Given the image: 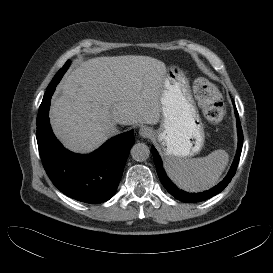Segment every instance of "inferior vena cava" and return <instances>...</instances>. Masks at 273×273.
Returning <instances> with one entry per match:
<instances>
[{"instance_id": "602c4592", "label": "inferior vena cava", "mask_w": 273, "mask_h": 273, "mask_svg": "<svg viewBox=\"0 0 273 273\" xmlns=\"http://www.w3.org/2000/svg\"><path fill=\"white\" fill-rule=\"evenodd\" d=\"M119 132L118 128L114 125V126H111L110 130H109V133L110 135H116L117 133Z\"/></svg>"}]
</instances>
